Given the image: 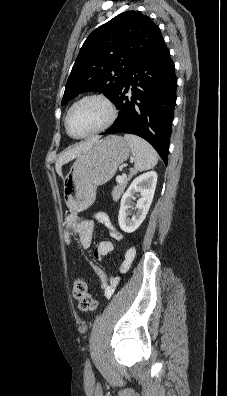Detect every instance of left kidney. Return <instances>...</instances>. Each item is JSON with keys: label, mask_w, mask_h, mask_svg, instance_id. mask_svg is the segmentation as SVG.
<instances>
[{"label": "left kidney", "mask_w": 227, "mask_h": 396, "mask_svg": "<svg viewBox=\"0 0 227 396\" xmlns=\"http://www.w3.org/2000/svg\"><path fill=\"white\" fill-rule=\"evenodd\" d=\"M157 184V173L150 171L137 176L122 196L118 223L122 231L134 232L144 221L152 203ZM134 195L140 198L133 203ZM136 212L132 214L130 209L134 207ZM131 216V218H130Z\"/></svg>", "instance_id": "1"}]
</instances>
